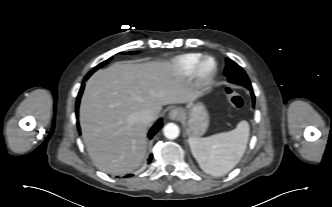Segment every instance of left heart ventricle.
Returning <instances> with one entry per match:
<instances>
[{"label": "left heart ventricle", "instance_id": "left-heart-ventricle-1", "mask_svg": "<svg viewBox=\"0 0 332 207\" xmlns=\"http://www.w3.org/2000/svg\"><path fill=\"white\" fill-rule=\"evenodd\" d=\"M210 67V63H206L205 68L208 69Z\"/></svg>", "mask_w": 332, "mask_h": 207}]
</instances>
